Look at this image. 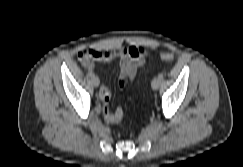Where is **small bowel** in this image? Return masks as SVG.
I'll return each mask as SVG.
<instances>
[{
    "instance_id": "1",
    "label": "small bowel",
    "mask_w": 243,
    "mask_h": 167,
    "mask_svg": "<svg viewBox=\"0 0 243 167\" xmlns=\"http://www.w3.org/2000/svg\"><path fill=\"white\" fill-rule=\"evenodd\" d=\"M85 52L84 54H81ZM148 51L142 47L129 46L118 47L109 50L91 49L81 51L78 54L80 63L88 70L95 69V62H111L115 59L120 60V75H129L131 79L137 73V70L145 63ZM111 90L107 86H102L99 91V97L102 105V113L107 123H116L122 117V110L117 108L111 112L109 102L111 99Z\"/></svg>"
}]
</instances>
